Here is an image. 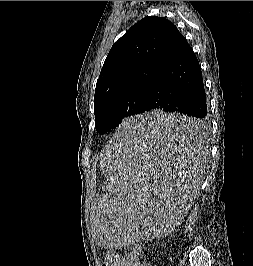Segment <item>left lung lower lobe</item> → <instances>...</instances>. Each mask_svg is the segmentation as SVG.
<instances>
[{
    "mask_svg": "<svg viewBox=\"0 0 253 266\" xmlns=\"http://www.w3.org/2000/svg\"><path fill=\"white\" fill-rule=\"evenodd\" d=\"M153 109L184 114L192 119L154 125L147 132L172 138H197L206 126L207 103L201 68L178 29L158 60L146 95L144 112Z\"/></svg>",
    "mask_w": 253,
    "mask_h": 266,
    "instance_id": "left-lung-lower-lobe-1",
    "label": "left lung lower lobe"
}]
</instances>
